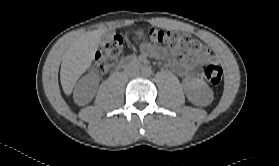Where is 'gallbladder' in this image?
Returning a JSON list of instances; mask_svg holds the SVG:
<instances>
[{
  "label": "gallbladder",
  "instance_id": "obj_1",
  "mask_svg": "<svg viewBox=\"0 0 279 166\" xmlns=\"http://www.w3.org/2000/svg\"><path fill=\"white\" fill-rule=\"evenodd\" d=\"M113 35H114V32L112 30L105 31L101 37L100 42L102 44L110 42L112 40Z\"/></svg>",
  "mask_w": 279,
  "mask_h": 166
}]
</instances>
